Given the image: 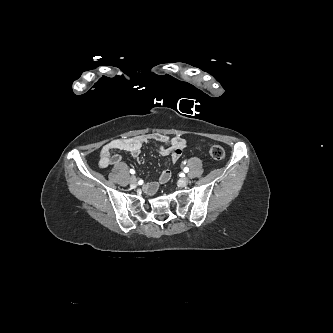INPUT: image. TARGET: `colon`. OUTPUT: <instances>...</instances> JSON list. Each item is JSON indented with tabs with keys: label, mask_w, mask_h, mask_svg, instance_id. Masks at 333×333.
<instances>
[{
	"label": "colon",
	"mask_w": 333,
	"mask_h": 333,
	"mask_svg": "<svg viewBox=\"0 0 333 333\" xmlns=\"http://www.w3.org/2000/svg\"><path fill=\"white\" fill-rule=\"evenodd\" d=\"M209 154L214 160H222L225 157L224 149L219 145H213L209 149Z\"/></svg>",
	"instance_id": "5ec220e1"
}]
</instances>
